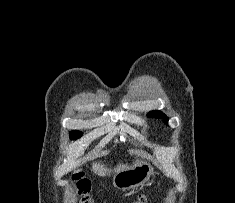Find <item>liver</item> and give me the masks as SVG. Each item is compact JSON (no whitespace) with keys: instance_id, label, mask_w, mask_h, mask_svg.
<instances>
[{"instance_id":"1","label":"liver","mask_w":235,"mask_h":203,"mask_svg":"<svg viewBox=\"0 0 235 203\" xmlns=\"http://www.w3.org/2000/svg\"><path fill=\"white\" fill-rule=\"evenodd\" d=\"M127 165H123V164H119L116 166V168H114V170H112L111 168L108 169L106 166H104L103 164L100 163H93L92 168L94 170V172L100 176H105V175H110L111 172H118L123 168H126Z\"/></svg>"}]
</instances>
